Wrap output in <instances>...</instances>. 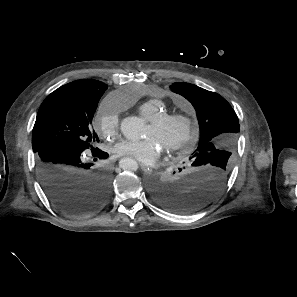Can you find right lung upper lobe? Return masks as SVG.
<instances>
[{
    "instance_id": "right-lung-upper-lobe-1",
    "label": "right lung upper lobe",
    "mask_w": 297,
    "mask_h": 297,
    "mask_svg": "<svg viewBox=\"0 0 297 297\" xmlns=\"http://www.w3.org/2000/svg\"><path fill=\"white\" fill-rule=\"evenodd\" d=\"M107 88L108 87L106 84L94 79L77 80L59 87L57 90L48 95L42 104H45L52 98L66 92H78L91 95L96 93H104Z\"/></svg>"
}]
</instances>
